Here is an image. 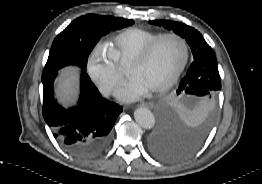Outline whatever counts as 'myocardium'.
Masks as SVG:
<instances>
[{
    "mask_svg": "<svg viewBox=\"0 0 262 184\" xmlns=\"http://www.w3.org/2000/svg\"><path fill=\"white\" fill-rule=\"evenodd\" d=\"M167 38H175L183 44L184 51H185L184 59H183L181 65H180V67L172 75V77L167 82H165L164 84L150 89L151 92H155V93L164 92V91L170 89L179 80V78L182 75L183 71L185 70V68L188 64L189 58H190V48H189V44H188L187 40L184 37H182L181 35L176 34V33L162 34L159 37H157L155 40H153L152 42L147 44L138 53V55L131 60V62L128 65L129 67H132V66H139V65L144 64L149 59V57L151 56V54L153 53V51L157 47V45L161 41H163Z\"/></svg>",
    "mask_w": 262,
    "mask_h": 184,
    "instance_id": "obj_1",
    "label": "myocardium"
}]
</instances>
